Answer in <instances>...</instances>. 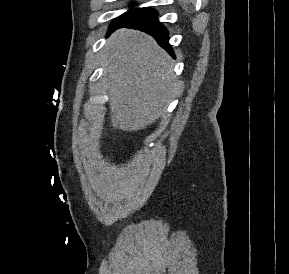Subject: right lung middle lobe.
<instances>
[{"instance_id": "right-lung-middle-lobe-1", "label": "right lung middle lobe", "mask_w": 289, "mask_h": 274, "mask_svg": "<svg viewBox=\"0 0 289 274\" xmlns=\"http://www.w3.org/2000/svg\"><path fill=\"white\" fill-rule=\"evenodd\" d=\"M147 10H149V8H133L125 12L124 14L120 15L118 18L114 19V21L112 22L110 29L108 31V34L116 30L120 25L146 12Z\"/></svg>"}]
</instances>
